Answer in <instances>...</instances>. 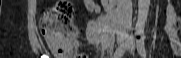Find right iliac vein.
Returning a JSON list of instances; mask_svg holds the SVG:
<instances>
[{"label": "right iliac vein", "mask_w": 181, "mask_h": 58, "mask_svg": "<svg viewBox=\"0 0 181 58\" xmlns=\"http://www.w3.org/2000/svg\"><path fill=\"white\" fill-rule=\"evenodd\" d=\"M117 44L119 47L124 46L126 44V38L124 36H119L117 38Z\"/></svg>", "instance_id": "obj_1"}]
</instances>
